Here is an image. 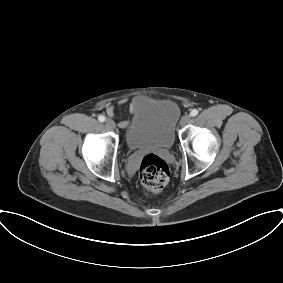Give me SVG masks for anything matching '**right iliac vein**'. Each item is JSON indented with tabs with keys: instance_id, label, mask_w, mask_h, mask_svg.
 Returning <instances> with one entry per match:
<instances>
[{
	"instance_id": "63e3f726",
	"label": "right iliac vein",
	"mask_w": 283,
	"mask_h": 283,
	"mask_svg": "<svg viewBox=\"0 0 283 283\" xmlns=\"http://www.w3.org/2000/svg\"><path fill=\"white\" fill-rule=\"evenodd\" d=\"M105 125L109 129H114L115 128V122L112 119H106Z\"/></svg>"
}]
</instances>
